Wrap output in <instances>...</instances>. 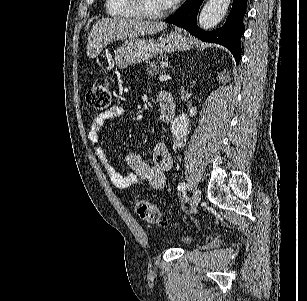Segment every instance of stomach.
Segmentation results:
<instances>
[{"label": "stomach", "mask_w": 307, "mask_h": 301, "mask_svg": "<svg viewBox=\"0 0 307 301\" xmlns=\"http://www.w3.org/2000/svg\"><path fill=\"white\" fill-rule=\"evenodd\" d=\"M191 38L183 36L180 32H169L167 36L154 38H128L115 50V64L117 68H126L136 62H147L156 54L174 52V50H189L192 48Z\"/></svg>", "instance_id": "0dacf381"}]
</instances>
